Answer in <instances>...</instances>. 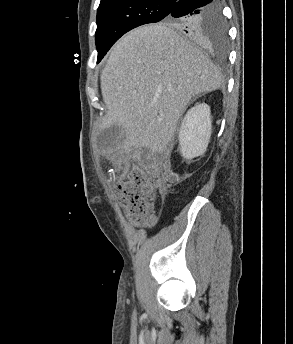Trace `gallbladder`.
Returning a JSON list of instances; mask_svg holds the SVG:
<instances>
[{
  "label": "gallbladder",
  "mask_w": 293,
  "mask_h": 344,
  "mask_svg": "<svg viewBox=\"0 0 293 344\" xmlns=\"http://www.w3.org/2000/svg\"><path fill=\"white\" fill-rule=\"evenodd\" d=\"M123 134L122 127L118 125H111L103 130L97 137L98 148L104 151H109L117 146Z\"/></svg>",
  "instance_id": "1"
}]
</instances>
